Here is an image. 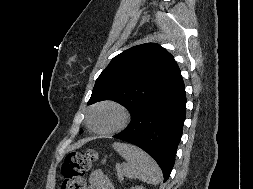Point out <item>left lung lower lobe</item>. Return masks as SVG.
Segmentation results:
<instances>
[{
    "instance_id": "0a47b994",
    "label": "left lung lower lobe",
    "mask_w": 253,
    "mask_h": 189,
    "mask_svg": "<svg viewBox=\"0 0 253 189\" xmlns=\"http://www.w3.org/2000/svg\"><path fill=\"white\" fill-rule=\"evenodd\" d=\"M186 94L182 76L155 100L132 116L129 125L114 138L132 143L159 164L164 182L172 171L182 136Z\"/></svg>"
}]
</instances>
